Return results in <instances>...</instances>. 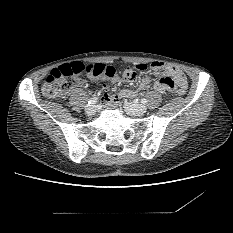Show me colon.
<instances>
[{"instance_id": "obj_1", "label": "colon", "mask_w": 233, "mask_h": 233, "mask_svg": "<svg viewBox=\"0 0 233 233\" xmlns=\"http://www.w3.org/2000/svg\"><path fill=\"white\" fill-rule=\"evenodd\" d=\"M150 68L148 64H140L136 66L137 70L146 71ZM117 73L112 65L92 64L81 61L72 62L52 70L47 76L42 93L46 98H59L67 96L76 84V78L82 74H86L95 78L110 79ZM121 76L125 81H132L135 76V70L131 67L125 68L121 72ZM166 81L167 79L164 78ZM184 88L175 91L176 94H183Z\"/></svg>"}]
</instances>
